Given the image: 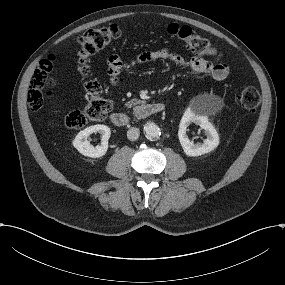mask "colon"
<instances>
[{"label": "colon", "mask_w": 285, "mask_h": 285, "mask_svg": "<svg viewBox=\"0 0 285 285\" xmlns=\"http://www.w3.org/2000/svg\"><path fill=\"white\" fill-rule=\"evenodd\" d=\"M169 35L183 41L187 47L197 55L216 57L218 50L212 46L208 39L200 36L188 26L176 23L168 25ZM121 30L117 25L93 28L87 30L79 39L77 52L79 71L82 75L89 72L88 61L90 56L107 47L117 39ZM53 59L43 60L34 72L28 92V105L33 111H38L44 104L45 98L51 93L48 89L53 86ZM86 103L82 109L70 112L61 122L71 129L82 128L88 123L103 120L111 111L112 105L103 96L101 85L92 79L85 82ZM238 104L246 110H254L260 104V94L254 87L244 88L239 97ZM57 123V122H56Z\"/></svg>", "instance_id": "colon-1"}]
</instances>
